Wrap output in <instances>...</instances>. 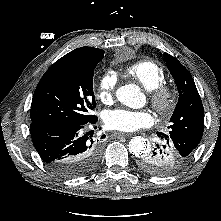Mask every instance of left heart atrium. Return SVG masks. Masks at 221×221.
Listing matches in <instances>:
<instances>
[{
  "label": "left heart atrium",
  "instance_id": "39dd6f15",
  "mask_svg": "<svg viewBox=\"0 0 221 221\" xmlns=\"http://www.w3.org/2000/svg\"><path fill=\"white\" fill-rule=\"evenodd\" d=\"M103 121L108 129L133 132L151 125L153 118L147 110L118 108L106 111L103 115Z\"/></svg>",
  "mask_w": 221,
  "mask_h": 221
}]
</instances>
